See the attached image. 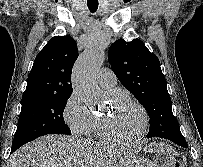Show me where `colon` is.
Returning a JSON list of instances; mask_svg holds the SVG:
<instances>
[{
	"instance_id": "colon-1",
	"label": "colon",
	"mask_w": 203,
	"mask_h": 167,
	"mask_svg": "<svg viewBox=\"0 0 203 167\" xmlns=\"http://www.w3.org/2000/svg\"><path fill=\"white\" fill-rule=\"evenodd\" d=\"M156 162L157 167H181L179 162L166 154H159Z\"/></svg>"
}]
</instances>
